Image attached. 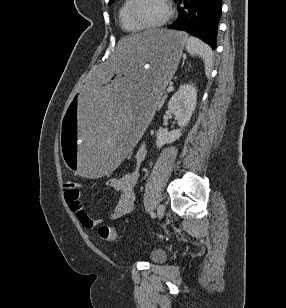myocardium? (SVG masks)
Wrapping results in <instances>:
<instances>
[{
	"instance_id": "1",
	"label": "myocardium",
	"mask_w": 286,
	"mask_h": 308,
	"mask_svg": "<svg viewBox=\"0 0 286 308\" xmlns=\"http://www.w3.org/2000/svg\"><path fill=\"white\" fill-rule=\"evenodd\" d=\"M138 2L139 0H131L128 14H129L130 20L136 26H138L139 28L143 30L159 29L163 27L164 25H166L173 15V8H172L170 0H163L165 7H166V15L164 16V18L160 20L159 22L153 23V24L143 23L142 21L138 19L137 14H136Z\"/></svg>"
}]
</instances>
